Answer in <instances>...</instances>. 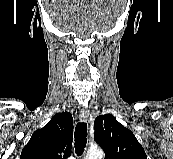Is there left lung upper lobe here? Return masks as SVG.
I'll use <instances>...</instances> for the list:
<instances>
[{
  "label": "left lung upper lobe",
  "mask_w": 173,
  "mask_h": 159,
  "mask_svg": "<svg viewBox=\"0 0 173 159\" xmlns=\"http://www.w3.org/2000/svg\"><path fill=\"white\" fill-rule=\"evenodd\" d=\"M94 139L105 152V159H147L134 134L111 114L98 116Z\"/></svg>",
  "instance_id": "1"
}]
</instances>
